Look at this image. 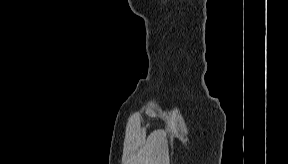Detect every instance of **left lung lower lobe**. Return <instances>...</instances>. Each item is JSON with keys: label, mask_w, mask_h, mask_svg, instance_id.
Returning a JSON list of instances; mask_svg holds the SVG:
<instances>
[{"label": "left lung lower lobe", "mask_w": 288, "mask_h": 164, "mask_svg": "<svg viewBox=\"0 0 288 164\" xmlns=\"http://www.w3.org/2000/svg\"><path fill=\"white\" fill-rule=\"evenodd\" d=\"M227 77H228V79H230V75H229V74H227ZM214 80H215V82L218 81V76H217V75H214ZM210 94H211L212 96H216L214 91H211Z\"/></svg>", "instance_id": "obj_1"}]
</instances>
